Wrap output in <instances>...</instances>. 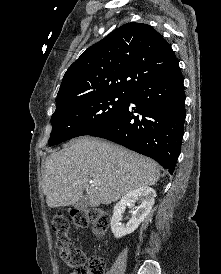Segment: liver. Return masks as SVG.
Wrapping results in <instances>:
<instances>
[{
    "instance_id": "obj_1",
    "label": "liver",
    "mask_w": 221,
    "mask_h": 274,
    "mask_svg": "<svg viewBox=\"0 0 221 274\" xmlns=\"http://www.w3.org/2000/svg\"><path fill=\"white\" fill-rule=\"evenodd\" d=\"M160 168L153 160L92 137L73 140L50 154L42 188L51 208L74 205L86 190L91 207L110 204L142 186L155 185ZM98 182L97 185L90 183Z\"/></svg>"
}]
</instances>
